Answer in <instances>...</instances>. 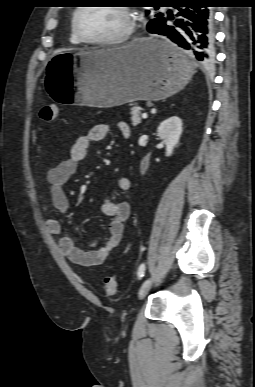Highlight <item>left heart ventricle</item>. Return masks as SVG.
I'll list each match as a JSON object with an SVG mask.
<instances>
[{
  "mask_svg": "<svg viewBox=\"0 0 255 387\" xmlns=\"http://www.w3.org/2000/svg\"><path fill=\"white\" fill-rule=\"evenodd\" d=\"M78 25L85 36L103 39L121 33L126 19L115 7H86L78 16Z\"/></svg>",
  "mask_w": 255,
  "mask_h": 387,
  "instance_id": "left-heart-ventricle-1",
  "label": "left heart ventricle"
}]
</instances>
